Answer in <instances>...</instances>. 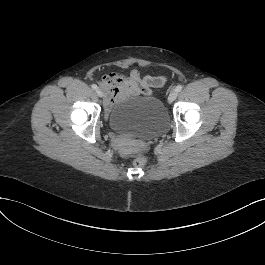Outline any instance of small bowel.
Wrapping results in <instances>:
<instances>
[{
  "label": "small bowel",
  "instance_id": "c3829d8e",
  "mask_svg": "<svg viewBox=\"0 0 265 265\" xmlns=\"http://www.w3.org/2000/svg\"><path fill=\"white\" fill-rule=\"evenodd\" d=\"M123 64V63H122ZM164 78L141 76L137 70L129 74L110 73L100 81L105 92L104 103L107 109L130 96L150 95L152 88L164 83Z\"/></svg>",
  "mask_w": 265,
  "mask_h": 265
}]
</instances>
